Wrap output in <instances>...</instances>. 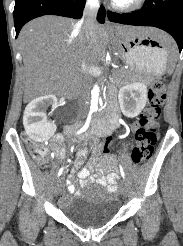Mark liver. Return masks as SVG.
I'll return each instance as SVG.
<instances>
[{"label":"liver","mask_w":183,"mask_h":246,"mask_svg":"<svg viewBox=\"0 0 183 246\" xmlns=\"http://www.w3.org/2000/svg\"><path fill=\"white\" fill-rule=\"evenodd\" d=\"M121 35L149 33L170 44L171 38L154 28L122 26ZM24 63V100L71 91L80 81L82 61L88 66L98 64L107 46L105 29L96 24L93 34L85 37L73 19L46 15L27 23L19 34Z\"/></svg>","instance_id":"liver-1"}]
</instances>
